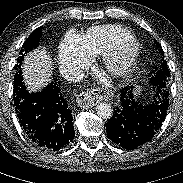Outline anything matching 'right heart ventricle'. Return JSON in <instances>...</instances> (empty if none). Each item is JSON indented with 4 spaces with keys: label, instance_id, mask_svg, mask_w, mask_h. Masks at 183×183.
<instances>
[{
    "label": "right heart ventricle",
    "instance_id": "e07e8e85",
    "mask_svg": "<svg viewBox=\"0 0 183 183\" xmlns=\"http://www.w3.org/2000/svg\"><path fill=\"white\" fill-rule=\"evenodd\" d=\"M132 39H134L133 34L124 27L99 26L91 28L80 40V44L89 55H105Z\"/></svg>",
    "mask_w": 183,
    "mask_h": 183
}]
</instances>
